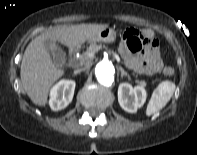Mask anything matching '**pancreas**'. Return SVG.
Here are the masks:
<instances>
[{
	"label": "pancreas",
	"mask_w": 197,
	"mask_h": 155,
	"mask_svg": "<svg viewBox=\"0 0 197 155\" xmlns=\"http://www.w3.org/2000/svg\"><path fill=\"white\" fill-rule=\"evenodd\" d=\"M102 48V45L91 44L86 51L80 56L79 60L81 63L85 64L88 63L93 55ZM138 84L141 86H146V82L144 80L137 81Z\"/></svg>",
	"instance_id": "cf45deb5"
}]
</instances>
